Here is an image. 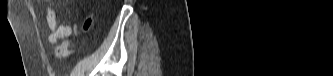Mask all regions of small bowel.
Masks as SVG:
<instances>
[{"mask_svg": "<svg viewBox=\"0 0 333 76\" xmlns=\"http://www.w3.org/2000/svg\"><path fill=\"white\" fill-rule=\"evenodd\" d=\"M47 22L49 28L48 40L51 44H56L59 40L70 37L73 32L71 25L59 23L53 8H48Z\"/></svg>", "mask_w": 333, "mask_h": 76, "instance_id": "c3829d8e", "label": "small bowel"}]
</instances>
